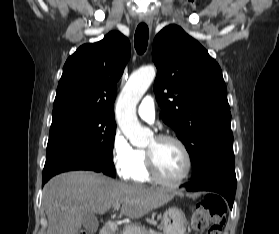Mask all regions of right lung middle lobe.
Masks as SVG:
<instances>
[{
  "label": "right lung middle lobe",
  "mask_w": 279,
  "mask_h": 234,
  "mask_svg": "<svg viewBox=\"0 0 279 234\" xmlns=\"http://www.w3.org/2000/svg\"><path fill=\"white\" fill-rule=\"evenodd\" d=\"M115 133L116 123L112 116L81 110L53 112L45 166L59 158L76 155L115 177L112 160Z\"/></svg>",
  "instance_id": "1"
}]
</instances>
